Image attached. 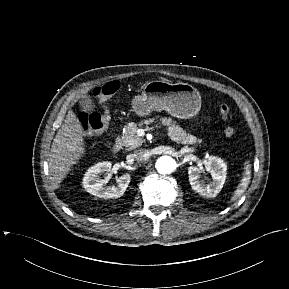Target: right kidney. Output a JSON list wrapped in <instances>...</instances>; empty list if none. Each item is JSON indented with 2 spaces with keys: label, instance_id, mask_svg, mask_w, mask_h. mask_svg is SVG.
I'll list each match as a JSON object with an SVG mask.
<instances>
[{
  "label": "right kidney",
  "instance_id": "ca27d5eb",
  "mask_svg": "<svg viewBox=\"0 0 289 289\" xmlns=\"http://www.w3.org/2000/svg\"><path fill=\"white\" fill-rule=\"evenodd\" d=\"M111 162H99L90 167L84 175L83 187L85 190L99 198L109 199L118 198L126 191L131 177L129 174L122 175L117 180V186L104 187V180L100 178L102 173L111 171Z\"/></svg>",
  "mask_w": 289,
  "mask_h": 289
}]
</instances>
